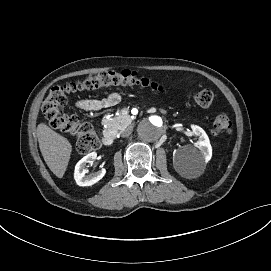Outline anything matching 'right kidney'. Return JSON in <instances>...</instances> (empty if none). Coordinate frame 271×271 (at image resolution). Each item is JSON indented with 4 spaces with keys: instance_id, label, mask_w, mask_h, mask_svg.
Wrapping results in <instances>:
<instances>
[{
    "instance_id": "obj_1",
    "label": "right kidney",
    "mask_w": 271,
    "mask_h": 271,
    "mask_svg": "<svg viewBox=\"0 0 271 271\" xmlns=\"http://www.w3.org/2000/svg\"><path fill=\"white\" fill-rule=\"evenodd\" d=\"M97 158L96 152H91L84 156L75 166L74 179L79 186H91L98 182L106 173V170L102 168L97 172L90 173L86 175L87 164H93L94 160Z\"/></svg>"
}]
</instances>
